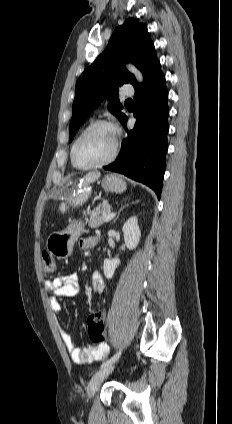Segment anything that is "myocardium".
<instances>
[{"label": "myocardium", "instance_id": "myocardium-1", "mask_svg": "<svg viewBox=\"0 0 232 424\" xmlns=\"http://www.w3.org/2000/svg\"><path fill=\"white\" fill-rule=\"evenodd\" d=\"M99 127L109 128L114 132V136H115L114 137V147H113L111 153L105 159L101 160L100 162L90 164V165L79 164L77 159H76V150H77L79 143L81 142V140L87 134H89L91 131H93L94 129L99 128ZM119 149H120V136H119L118 128L115 126V124H113L112 122L107 121V120H97V121H94L93 123H91L90 125H88L80 133V135L77 137V139L73 143V146H72V149H71V160H72L73 165L80 170L95 169V168L102 167V166L107 165L110 162H112L116 158V156L118 155Z\"/></svg>", "mask_w": 232, "mask_h": 424}]
</instances>
